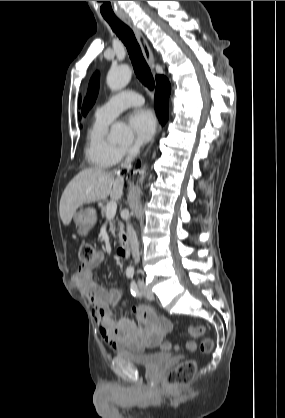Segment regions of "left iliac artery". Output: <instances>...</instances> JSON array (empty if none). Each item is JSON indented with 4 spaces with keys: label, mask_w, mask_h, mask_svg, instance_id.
<instances>
[{
    "label": "left iliac artery",
    "mask_w": 285,
    "mask_h": 418,
    "mask_svg": "<svg viewBox=\"0 0 285 418\" xmlns=\"http://www.w3.org/2000/svg\"><path fill=\"white\" fill-rule=\"evenodd\" d=\"M130 290L133 296L141 297V293L139 292V289L134 281L131 282Z\"/></svg>",
    "instance_id": "1"
}]
</instances>
